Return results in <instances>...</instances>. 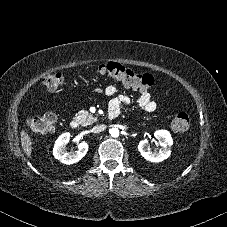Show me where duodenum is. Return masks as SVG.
I'll return each instance as SVG.
<instances>
[{
	"mask_svg": "<svg viewBox=\"0 0 227 227\" xmlns=\"http://www.w3.org/2000/svg\"><path fill=\"white\" fill-rule=\"evenodd\" d=\"M118 116V112L115 109H110L108 112V119L113 120ZM70 126L72 129H79L81 126V123L78 119H73L70 122Z\"/></svg>",
	"mask_w": 227,
	"mask_h": 227,
	"instance_id": "duodenum-1",
	"label": "duodenum"
}]
</instances>
